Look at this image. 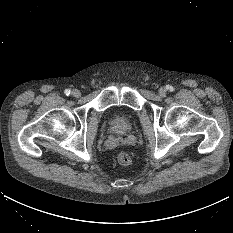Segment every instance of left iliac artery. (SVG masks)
Wrapping results in <instances>:
<instances>
[{
  "label": "left iliac artery",
  "mask_w": 233,
  "mask_h": 233,
  "mask_svg": "<svg viewBox=\"0 0 233 233\" xmlns=\"http://www.w3.org/2000/svg\"><path fill=\"white\" fill-rule=\"evenodd\" d=\"M168 89H169L170 91H173V90H174V88H173L172 86H168Z\"/></svg>",
  "instance_id": "1"
}]
</instances>
